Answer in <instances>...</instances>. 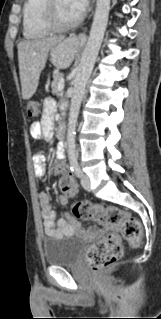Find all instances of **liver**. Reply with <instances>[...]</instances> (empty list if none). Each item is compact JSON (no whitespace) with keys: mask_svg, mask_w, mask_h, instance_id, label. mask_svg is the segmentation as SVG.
<instances>
[{"mask_svg":"<svg viewBox=\"0 0 161 319\" xmlns=\"http://www.w3.org/2000/svg\"><path fill=\"white\" fill-rule=\"evenodd\" d=\"M63 39V36H54L23 40L18 43L19 74L23 99L28 100L34 95L38 87L40 73L46 64L48 52Z\"/></svg>","mask_w":161,"mask_h":319,"instance_id":"liver-1","label":"liver"}]
</instances>
